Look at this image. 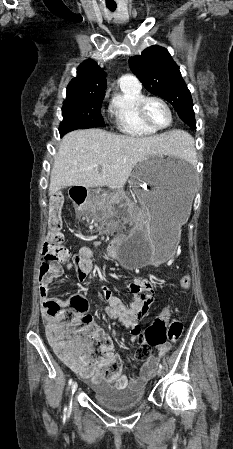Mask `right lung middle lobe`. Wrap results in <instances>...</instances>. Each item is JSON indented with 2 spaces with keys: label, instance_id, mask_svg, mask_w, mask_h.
<instances>
[{
  "label": "right lung middle lobe",
  "instance_id": "1",
  "mask_svg": "<svg viewBox=\"0 0 233 449\" xmlns=\"http://www.w3.org/2000/svg\"><path fill=\"white\" fill-rule=\"evenodd\" d=\"M105 94L67 97L62 107L63 121L60 134L75 129L105 126L101 115V105Z\"/></svg>",
  "mask_w": 233,
  "mask_h": 449
}]
</instances>
